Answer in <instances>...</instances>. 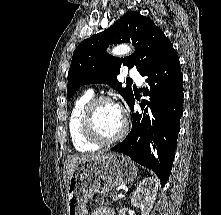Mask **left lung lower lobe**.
Listing matches in <instances>:
<instances>
[{
	"instance_id": "left-lung-lower-lobe-1",
	"label": "left lung lower lobe",
	"mask_w": 221,
	"mask_h": 215,
	"mask_svg": "<svg viewBox=\"0 0 221 215\" xmlns=\"http://www.w3.org/2000/svg\"><path fill=\"white\" fill-rule=\"evenodd\" d=\"M146 77L142 112H133L135 97L128 104L133 114L132 129L125 140L111 148L152 169L165 185L174 160L183 114V77L179 58L168 44Z\"/></svg>"
}]
</instances>
